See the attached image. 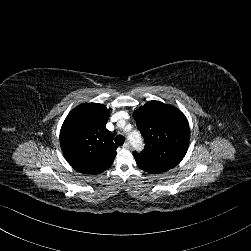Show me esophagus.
Masks as SVG:
<instances>
[{
    "label": "esophagus",
    "mask_w": 251,
    "mask_h": 251,
    "mask_svg": "<svg viewBox=\"0 0 251 251\" xmlns=\"http://www.w3.org/2000/svg\"><path fill=\"white\" fill-rule=\"evenodd\" d=\"M123 148H125V149H130V148H131L130 143L126 141V142L124 143V145H123Z\"/></svg>",
    "instance_id": "obj_1"
}]
</instances>
